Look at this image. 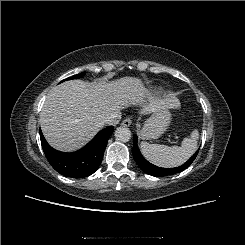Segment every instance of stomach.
I'll list each match as a JSON object with an SVG mask.
<instances>
[{"mask_svg": "<svg viewBox=\"0 0 245 245\" xmlns=\"http://www.w3.org/2000/svg\"><path fill=\"white\" fill-rule=\"evenodd\" d=\"M171 119L169 109L153 113L140 130L141 138L146 140L159 138L169 127Z\"/></svg>", "mask_w": 245, "mask_h": 245, "instance_id": "obj_1", "label": "stomach"}]
</instances>
